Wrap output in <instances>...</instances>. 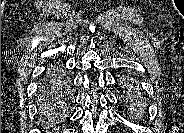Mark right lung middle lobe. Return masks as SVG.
Listing matches in <instances>:
<instances>
[{
	"mask_svg": "<svg viewBox=\"0 0 184 133\" xmlns=\"http://www.w3.org/2000/svg\"><path fill=\"white\" fill-rule=\"evenodd\" d=\"M66 81L58 69L50 70L40 85V108L43 115L54 113L57 106L63 103L59 96L65 90Z\"/></svg>",
	"mask_w": 184,
	"mask_h": 133,
	"instance_id": "1",
	"label": "right lung middle lobe"
}]
</instances>
